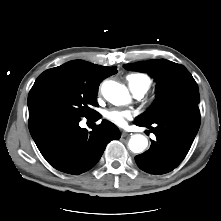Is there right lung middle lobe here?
<instances>
[{
  "instance_id": "1",
  "label": "right lung middle lobe",
  "mask_w": 221,
  "mask_h": 221,
  "mask_svg": "<svg viewBox=\"0 0 221 221\" xmlns=\"http://www.w3.org/2000/svg\"><path fill=\"white\" fill-rule=\"evenodd\" d=\"M98 87L69 77H56L40 85L35 93V107L41 114H69L89 117L96 113Z\"/></svg>"
}]
</instances>
